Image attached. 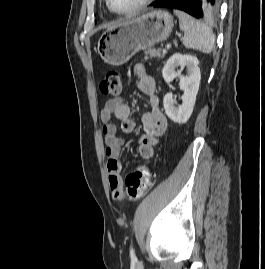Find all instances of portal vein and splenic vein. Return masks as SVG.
<instances>
[{"label": "portal vein and splenic vein", "instance_id": "portal-vein-and-splenic-vein-1", "mask_svg": "<svg viewBox=\"0 0 265 269\" xmlns=\"http://www.w3.org/2000/svg\"><path fill=\"white\" fill-rule=\"evenodd\" d=\"M171 44H167L166 47L163 49V52L166 53L168 49H170Z\"/></svg>", "mask_w": 265, "mask_h": 269}]
</instances>
